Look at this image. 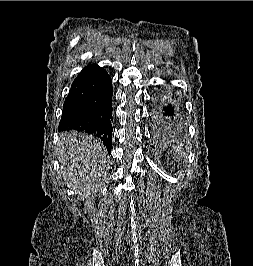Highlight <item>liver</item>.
Listing matches in <instances>:
<instances>
[{"label":"liver","instance_id":"liver-1","mask_svg":"<svg viewBox=\"0 0 253 266\" xmlns=\"http://www.w3.org/2000/svg\"><path fill=\"white\" fill-rule=\"evenodd\" d=\"M58 149L62 168L69 169L68 185L84 200L98 187L100 171L106 162L105 148L92 135L70 132L60 135Z\"/></svg>","mask_w":253,"mask_h":266}]
</instances>
